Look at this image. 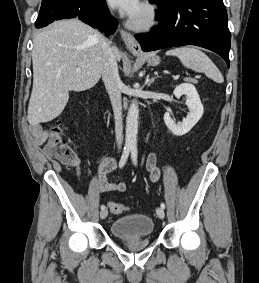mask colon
Here are the masks:
<instances>
[{"label": "colon", "mask_w": 259, "mask_h": 283, "mask_svg": "<svg viewBox=\"0 0 259 283\" xmlns=\"http://www.w3.org/2000/svg\"><path fill=\"white\" fill-rule=\"evenodd\" d=\"M46 154L67 166L79 163V156L65 137V127L62 123H57L51 129L50 138L46 146ZM108 207L114 214H121L127 210L125 205L117 202H110Z\"/></svg>", "instance_id": "colon-1"}]
</instances>
